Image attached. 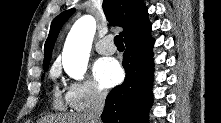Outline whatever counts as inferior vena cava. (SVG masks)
Wrapping results in <instances>:
<instances>
[{
    "instance_id": "602c4592",
    "label": "inferior vena cava",
    "mask_w": 221,
    "mask_h": 123,
    "mask_svg": "<svg viewBox=\"0 0 221 123\" xmlns=\"http://www.w3.org/2000/svg\"><path fill=\"white\" fill-rule=\"evenodd\" d=\"M106 94L95 89L91 95V104L88 111L85 113L91 123H100L101 114L105 105Z\"/></svg>"
}]
</instances>
